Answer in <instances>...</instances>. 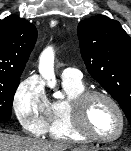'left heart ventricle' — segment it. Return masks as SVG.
I'll return each instance as SVG.
<instances>
[{
	"label": "left heart ventricle",
	"mask_w": 131,
	"mask_h": 151,
	"mask_svg": "<svg viewBox=\"0 0 131 151\" xmlns=\"http://www.w3.org/2000/svg\"><path fill=\"white\" fill-rule=\"evenodd\" d=\"M88 126L96 135L108 138L117 134L120 120L109 102L96 98L89 105Z\"/></svg>",
	"instance_id": "b2bd125f"
}]
</instances>
